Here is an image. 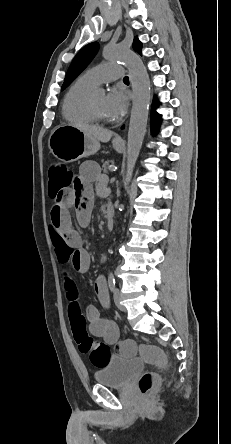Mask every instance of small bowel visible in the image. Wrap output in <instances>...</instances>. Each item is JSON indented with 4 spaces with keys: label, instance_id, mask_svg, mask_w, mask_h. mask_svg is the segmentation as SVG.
Instances as JSON below:
<instances>
[{
    "label": "small bowel",
    "instance_id": "1",
    "mask_svg": "<svg viewBox=\"0 0 231 444\" xmlns=\"http://www.w3.org/2000/svg\"><path fill=\"white\" fill-rule=\"evenodd\" d=\"M93 183L100 196L108 194L107 180L100 173L99 167L94 162H84L80 166L75 184L62 194L58 204L52 202L50 208L49 232L57 258L60 263L70 265L73 270L81 273L89 269L90 255L82 246L80 234L72 227L69 210L73 206L79 225H88L93 206ZM62 277L67 296L71 300H76L77 288L70 271L64 269ZM95 290L102 301L107 303L108 296L102 278L95 282ZM79 304L81 306V303ZM86 318L92 335L103 338L108 344L117 342L119 339L117 325L110 319L102 318L96 306H87Z\"/></svg>",
    "mask_w": 231,
    "mask_h": 444
}]
</instances>
